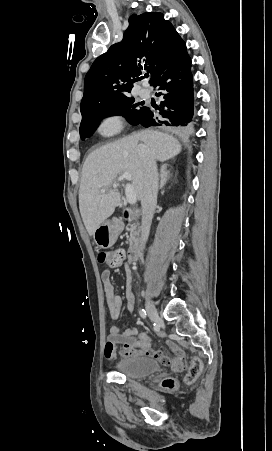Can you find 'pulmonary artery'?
<instances>
[{
    "label": "pulmonary artery",
    "instance_id": "obj_1",
    "mask_svg": "<svg viewBox=\"0 0 272 451\" xmlns=\"http://www.w3.org/2000/svg\"><path fill=\"white\" fill-rule=\"evenodd\" d=\"M138 95L140 96V98L144 100L149 99L151 97V93L144 89L140 90Z\"/></svg>",
    "mask_w": 272,
    "mask_h": 451
}]
</instances>
